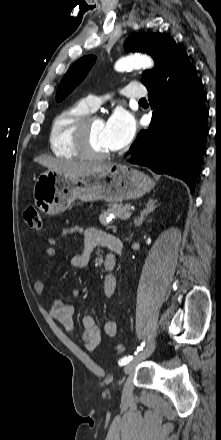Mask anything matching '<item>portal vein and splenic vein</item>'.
<instances>
[{
    "label": "portal vein and splenic vein",
    "mask_w": 221,
    "mask_h": 440,
    "mask_svg": "<svg viewBox=\"0 0 221 440\" xmlns=\"http://www.w3.org/2000/svg\"><path fill=\"white\" fill-rule=\"evenodd\" d=\"M132 210H134V208H132ZM131 215H132V212L128 211L123 215L122 219H128Z\"/></svg>",
    "instance_id": "18ae733b"
}]
</instances>
